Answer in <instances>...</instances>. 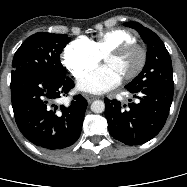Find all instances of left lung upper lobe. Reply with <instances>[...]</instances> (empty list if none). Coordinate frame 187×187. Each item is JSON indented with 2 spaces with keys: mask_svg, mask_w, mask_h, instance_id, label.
<instances>
[{
  "mask_svg": "<svg viewBox=\"0 0 187 187\" xmlns=\"http://www.w3.org/2000/svg\"><path fill=\"white\" fill-rule=\"evenodd\" d=\"M124 26L134 28L148 45L146 64L143 71L129 84L126 89H141L144 87H173L172 61L164 43L150 29L137 22H127Z\"/></svg>",
  "mask_w": 187,
  "mask_h": 187,
  "instance_id": "1",
  "label": "left lung upper lobe"
}]
</instances>
